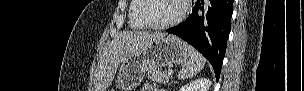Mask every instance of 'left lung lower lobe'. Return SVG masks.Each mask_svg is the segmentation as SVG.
Masks as SVG:
<instances>
[{"instance_id":"1","label":"left lung lower lobe","mask_w":304,"mask_h":91,"mask_svg":"<svg viewBox=\"0 0 304 91\" xmlns=\"http://www.w3.org/2000/svg\"><path fill=\"white\" fill-rule=\"evenodd\" d=\"M232 12L233 0H197L192 3L191 15L180 25L167 30L200 51L213 66L217 80L225 56Z\"/></svg>"}]
</instances>
